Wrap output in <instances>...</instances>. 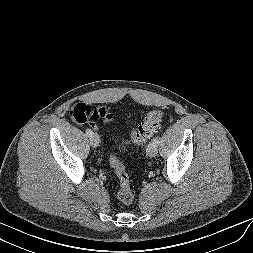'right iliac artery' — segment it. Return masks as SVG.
<instances>
[{
  "mask_svg": "<svg viewBox=\"0 0 253 253\" xmlns=\"http://www.w3.org/2000/svg\"><path fill=\"white\" fill-rule=\"evenodd\" d=\"M86 135H87L88 137H91V136L93 135V131L90 130V129H87V130H86Z\"/></svg>",
  "mask_w": 253,
  "mask_h": 253,
  "instance_id": "obj_1",
  "label": "right iliac artery"
}]
</instances>
